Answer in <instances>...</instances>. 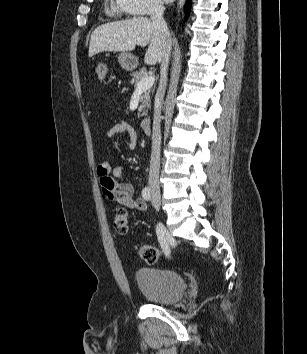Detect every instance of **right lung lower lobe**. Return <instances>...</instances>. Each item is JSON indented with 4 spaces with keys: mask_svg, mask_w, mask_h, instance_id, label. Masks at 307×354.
<instances>
[{
    "mask_svg": "<svg viewBox=\"0 0 307 354\" xmlns=\"http://www.w3.org/2000/svg\"><path fill=\"white\" fill-rule=\"evenodd\" d=\"M190 7H191V0H187V5H186V17L189 15L190 13Z\"/></svg>",
    "mask_w": 307,
    "mask_h": 354,
    "instance_id": "1",
    "label": "right lung lower lobe"
}]
</instances>
